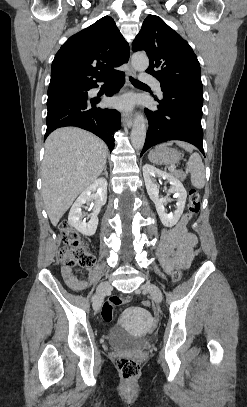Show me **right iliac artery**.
<instances>
[{
  "label": "right iliac artery",
  "mask_w": 247,
  "mask_h": 407,
  "mask_svg": "<svg viewBox=\"0 0 247 407\" xmlns=\"http://www.w3.org/2000/svg\"><path fill=\"white\" fill-rule=\"evenodd\" d=\"M94 299H95V295L92 296V300H94Z\"/></svg>",
  "instance_id": "82829eb1"
}]
</instances>
